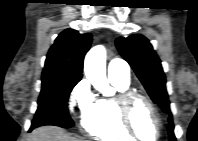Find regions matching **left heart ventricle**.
Instances as JSON below:
<instances>
[{
    "mask_svg": "<svg viewBox=\"0 0 198 141\" xmlns=\"http://www.w3.org/2000/svg\"><path fill=\"white\" fill-rule=\"evenodd\" d=\"M132 123L139 137L144 141H153L157 134L154 117L147 104L138 101L132 110Z\"/></svg>",
    "mask_w": 198,
    "mask_h": 141,
    "instance_id": "1",
    "label": "left heart ventricle"
}]
</instances>
